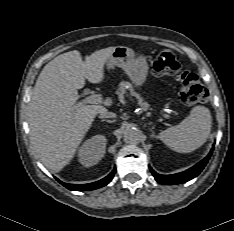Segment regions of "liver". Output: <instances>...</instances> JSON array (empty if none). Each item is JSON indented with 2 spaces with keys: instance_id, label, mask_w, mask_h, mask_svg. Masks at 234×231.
Wrapping results in <instances>:
<instances>
[{
  "instance_id": "obj_1",
  "label": "liver",
  "mask_w": 234,
  "mask_h": 231,
  "mask_svg": "<svg viewBox=\"0 0 234 231\" xmlns=\"http://www.w3.org/2000/svg\"><path fill=\"white\" fill-rule=\"evenodd\" d=\"M116 47L95 51L82 60L77 50L58 55L44 66L29 104L31 144L41 162L61 171L74 157L102 105L77 103L78 89L104 78V65ZM112 101L106 99L105 104Z\"/></svg>"
}]
</instances>
